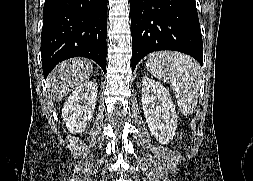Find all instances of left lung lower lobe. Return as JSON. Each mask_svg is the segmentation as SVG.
Wrapping results in <instances>:
<instances>
[{
	"instance_id": "left-lung-lower-lobe-1",
	"label": "left lung lower lobe",
	"mask_w": 253,
	"mask_h": 181,
	"mask_svg": "<svg viewBox=\"0 0 253 181\" xmlns=\"http://www.w3.org/2000/svg\"><path fill=\"white\" fill-rule=\"evenodd\" d=\"M132 71L159 50L186 53L203 64V44L195 0H130Z\"/></svg>"
}]
</instances>
